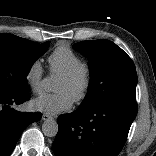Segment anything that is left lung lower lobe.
I'll list each match as a JSON object with an SVG mask.
<instances>
[{
	"label": "left lung lower lobe",
	"mask_w": 156,
	"mask_h": 156,
	"mask_svg": "<svg viewBox=\"0 0 156 156\" xmlns=\"http://www.w3.org/2000/svg\"><path fill=\"white\" fill-rule=\"evenodd\" d=\"M136 114L137 106L108 102L60 115L55 156H117Z\"/></svg>",
	"instance_id": "0a47b994"
}]
</instances>
